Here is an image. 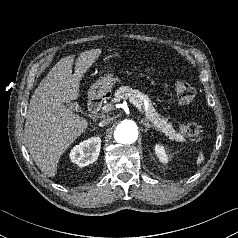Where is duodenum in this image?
<instances>
[{
    "instance_id": "duodenum-1",
    "label": "duodenum",
    "mask_w": 238,
    "mask_h": 238,
    "mask_svg": "<svg viewBox=\"0 0 238 238\" xmlns=\"http://www.w3.org/2000/svg\"><path fill=\"white\" fill-rule=\"evenodd\" d=\"M103 102V95L101 94H93L89 101V108L92 112H98L100 106Z\"/></svg>"
}]
</instances>
